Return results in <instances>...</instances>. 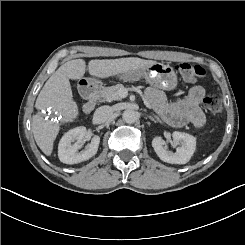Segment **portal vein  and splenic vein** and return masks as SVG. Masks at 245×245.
Returning a JSON list of instances; mask_svg holds the SVG:
<instances>
[{
	"label": "portal vein and splenic vein",
	"mask_w": 245,
	"mask_h": 245,
	"mask_svg": "<svg viewBox=\"0 0 245 245\" xmlns=\"http://www.w3.org/2000/svg\"><path fill=\"white\" fill-rule=\"evenodd\" d=\"M127 94H128V91H127V90H121V91H120V96H121L122 98L127 97Z\"/></svg>",
	"instance_id": "portal-vein-and-splenic-vein-1"
}]
</instances>
